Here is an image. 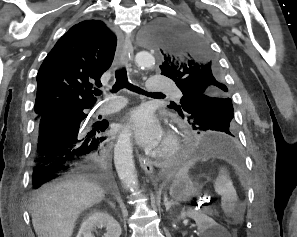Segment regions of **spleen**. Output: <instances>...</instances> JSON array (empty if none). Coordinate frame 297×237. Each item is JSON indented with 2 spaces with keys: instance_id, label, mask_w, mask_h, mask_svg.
Masks as SVG:
<instances>
[{
  "instance_id": "obj_1",
  "label": "spleen",
  "mask_w": 297,
  "mask_h": 237,
  "mask_svg": "<svg viewBox=\"0 0 297 237\" xmlns=\"http://www.w3.org/2000/svg\"><path fill=\"white\" fill-rule=\"evenodd\" d=\"M194 162L186 163L178 172L177 176L187 175L189 169L193 166ZM214 189L217 194L221 196V207L225 214H231L235 210L237 202V193L229 178L226 170L221 169L219 175L214 182Z\"/></svg>"
}]
</instances>
